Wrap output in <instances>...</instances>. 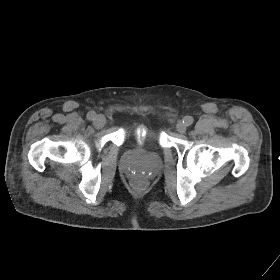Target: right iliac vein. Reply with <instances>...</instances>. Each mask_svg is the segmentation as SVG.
Returning <instances> with one entry per match:
<instances>
[{"instance_id":"63e3f726","label":"right iliac vein","mask_w":280,"mask_h":280,"mask_svg":"<svg viewBox=\"0 0 280 280\" xmlns=\"http://www.w3.org/2000/svg\"><path fill=\"white\" fill-rule=\"evenodd\" d=\"M106 124V118L103 115L96 116V119L94 120V126L96 128H103Z\"/></svg>"}]
</instances>
